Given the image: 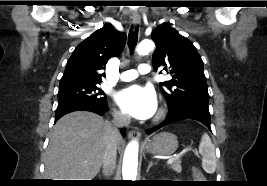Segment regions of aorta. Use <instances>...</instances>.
<instances>
[{"mask_svg": "<svg viewBox=\"0 0 267 186\" xmlns=\"http://www.w3.org/2000/svg\"><path fill=\"white\" fill-rule=\"evenodd\" d=\"M153 49H154L153 41L143 40L138 45L137 52L139 55H146ZM138 151H139V145L136 140L131 141L127 145L122 165L123 180L136 181L137 166H138Z\"/></svg>", "mask_w": 267, "mask_h": 186, "instance_id": "1", "label": "aorta"}]
</instances>
